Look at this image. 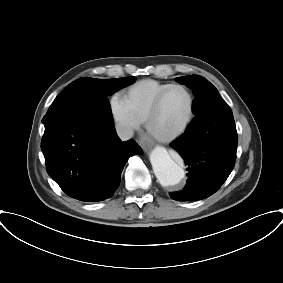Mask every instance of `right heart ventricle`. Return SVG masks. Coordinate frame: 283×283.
<instances>
[{
    "mask_svg": "<svg viewBox=\"0 0 283 283\" xmlns=\"http://www.w3.org/2000/svg\"><path fill=\"white\" fill-rule=\"evenodd\" d=\"M171 84L154 79H144L128 87L123 92L122 98L137 121L143 123L157 95Z\"/></svg>",
    "mask_w": 283,
    "mask_h": 283,
    "instance_id": "right-heart-ventricle-1",
    "label": "right heart ventricle"
}]
</instances>
